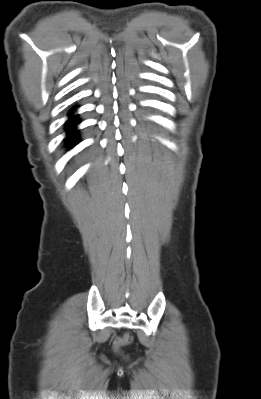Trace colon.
<instances>
[{
    "label": "colon",
    "instance_id": "1",
    "mask_svg": "<svg viewBox=\"0 0 261 399\" xmlns=\"http://www.w3.org/2000/svg\"><path fill=\"white\" fill-rule=\"evenodd\" d=\"M132 341V336L130 334H125L121 337L116 338L115 347L119 348L121 346L127 345Z\"/></svg>",
    "mask_w": 261,
    "mask_h": 399
}]
</instances>
